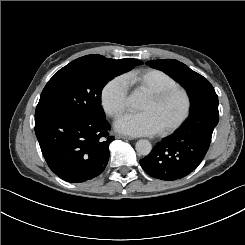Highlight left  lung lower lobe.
Masks as SVG:
<instances>
[{
	"label": "left lung lower lobe",
	"instance_id": "0a47b994",
	"mask_svg": "<svg viewBox=\"0 0 245 245\" xmlns=\"http://www.w3.org/2000/svg\"><path fill=\"white\" fill-rule=\"evenodd\" d=\"M219 121L218 97L213 87L195 99L182 127L164 138L140 165L151 177L175 181L194 171L206 155L215 126Z\"/></svg>",
	"mask_w": 245,
	"mask_h": 245
}]
</instances>
